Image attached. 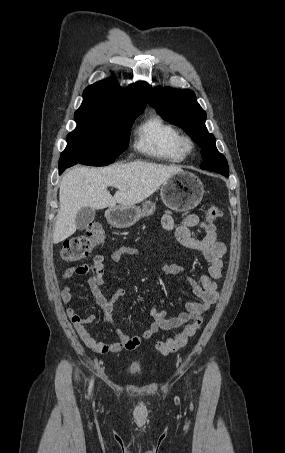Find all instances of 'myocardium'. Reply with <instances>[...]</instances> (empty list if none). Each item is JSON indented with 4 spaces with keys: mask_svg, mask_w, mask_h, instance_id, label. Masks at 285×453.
<instances>
[{
    "mask_svg": "<svg viewBox=\"0 0 285 453\" xmlns=\"http://www.w3.org/2000/svg\"><path fill=\"white\" fill-rule=\"evenodd\" d=\"M178 144L184 154L190 153L194 148L193 139L186 134H180Z\"/></svg>",
    "mask_w": 285,
    "mask_h": 453,
    "instance_id": "1",
    "label": "myocardium"
}]
</instances>
